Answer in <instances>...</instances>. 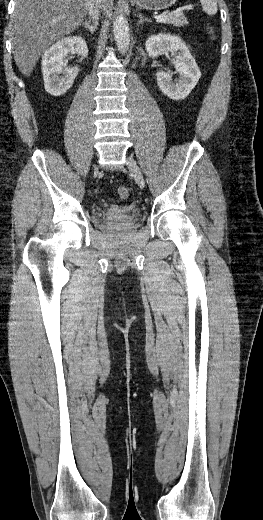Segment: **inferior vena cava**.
Instances as JSON below:
<instances>
[{
    "label": "inferior vena cava",
    "instance_id": "1",
    "mask_svg": "<svg viewBox=\"0 0 263 520\" xmlns=\"http://www.w3.org/2000/svg\"><path fill=\"white\" fill-rule=\"evenodd\" d=\"M101 2L102 0H87L88 14L93 19V22L98 21Z\"/></svg>",
    "mask_w": 263,
    "mask_h": 520
}]
</instances>
